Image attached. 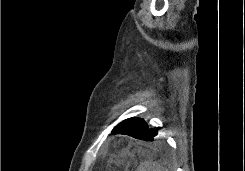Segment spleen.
Returning <instances> with one entry per match:
<instances>
[{"instance_id": "1", "label": "spleen", "mask_w": 245, "mask_h": 171, "mask_svg": "<svg viewBox=\"0 0 245 171\" xmlns=\"http://www.w3.org/2000/svg\"><path fill=\"white\" fill-rule=\"evenodd\" d=\"M136 171H168V170H165L164 167L158 162L147 160L145 162H142Z\"/></svg>"}]
</instances>
